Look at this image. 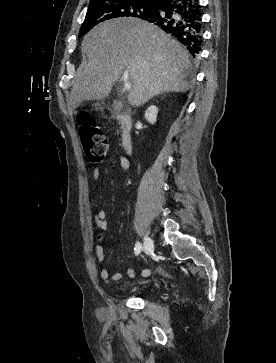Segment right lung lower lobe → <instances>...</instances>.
I'll return each instance as SVG.
<instances>
[{"label": "right lung lower lobe", "mask_w": 276, "mask_h": 363, "mask_svg": "<svg viewBox=\"0 0 276 363\" xmlns=\"http://www.w3.org/2000/svg\"><path fill=\"white\" fill-rule=\"evenodd\" d=\"M198 0H164L146 21L175 37L196 57L202 43V13Z\"/></svg>", "instance_id": "right-lung-lower-lobe-1"}]
</instances>
